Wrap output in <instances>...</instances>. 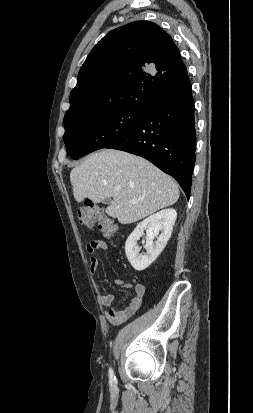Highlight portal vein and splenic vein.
Segmentation results:
<instances>
[{"label": "portal vein and splenic vein", "mask_w": 253, "mask_h": 413, "mask_svg": "<svg viewBox=\"0 0 253 413\" xmlns=\"http://www.w3.org/2000/svg\"><path fill=\"white\" fill-rule=\"evenodd\" d=\"M115 191H118V188H116ZM131 203H136V202H135V201H131Z\"/></svg>", "instance_id": "portal-vein-and-splenic-vein-1"}]
</instances>
